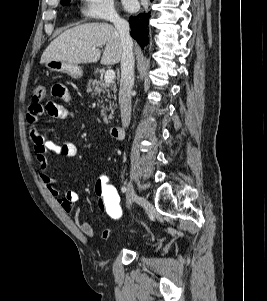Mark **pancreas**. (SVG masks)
Masks as SVG:
<instances>
[{"mask_svg":"<svg viewBox=\"0 0 267 301\" xmlns=\"http://www.w3.org/2000/svg\"><path fill=\"white\" fill-rule=\"evenodd\" d=\"M87 92H90L93 97L101 95L103 93L105 96V102L109 103V106H105L104 104L101 106V115L103 116V121L108 124L112 119V115L109 117L106 114V111L113 112V107H115L114 101L116 100V85L114 82L111 83H103L99 80H89L87 84Z\"/></svg>","mask_w":267,"mask_h":301,"instance_id":"cf45deb5","label":"pancreas"}]
</instances>
